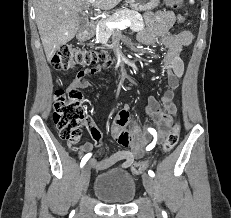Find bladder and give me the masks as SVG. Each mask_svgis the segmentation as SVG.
Returning <instances> with one entry per match:
<instances>
[{
	"label": "bladder",
	"instance_id": "31cf9c89",
	"mask_svg": "<svg viewBox=\"0 0 231 218\" xmlns=\"http://www.w3.org/2000/svg\"><path fill=\"white\" fill-rule=\"evenodd\" d=\"M95 195L108 203H128L135 196V184L128 174L100 175L94 183Z\"/></svg>",
	"mask_w": 231,
	"mask_h": 218
}]
</instances>
